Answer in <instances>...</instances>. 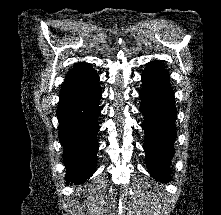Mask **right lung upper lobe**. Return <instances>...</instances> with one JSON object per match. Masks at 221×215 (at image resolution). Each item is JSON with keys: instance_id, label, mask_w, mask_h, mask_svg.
Listing matches in <instances>:
<instances>
[{"instance_id": "cb5924a9", "label": "right lung upper lobe", "mask_w": 221, "mask_h": 215, "mask_svg": "<svg viewBox=\"0 0 221 215\" xmlns=\"http://www.w3.org/2000/svg\"><path fill=\"white\" fill-rule=\"evenodd\" d=\"M90 69H93L91 66H89L87 63L85 62H80V63H77L73 69L70 70V72L68 73L67 75V78L68 77H71V76H74V75H77V74H80L82 72H85V71H88Z\"/></svg>"}]
</instances>
